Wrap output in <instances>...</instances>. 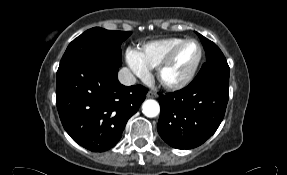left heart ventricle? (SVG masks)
I'll use <instances>...</instances> for the list:
<instances>
[{
  "label": "left heart ventricle",
  "mask_w": 287,
  "mask_h": 175,
  "mask_svg": "<svg viewBox=\"0 0 287 175\" xmlns=\"http://www.w3.org/2000/svg\"><path fill=\"white\" fill-rule=\"evenodd\" d=\"M199 55V48L196 43L186 44L176 55L172 64L165 70L164 78L167 81H178L185 77L194 64Z\"/></svg>",
  "instance_id": "1"
}]
</instances>
